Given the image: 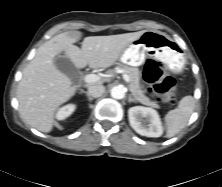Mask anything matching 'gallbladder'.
Wrapping results in <instances>:
<instances>
[{
  "label": "gallbladder",
  "instance_id": "gallbladder-1",
  "mask_svg": "<svg viewBox=\"0 0 222 187\" xmlns=\"http://www.w3.org/2000/svg\"><path fill=\"white\" fill-rule=\"evenodd\" d=\"M55 62L58 69L64 73L73 83L77 84L80 82L82 74L70 59L60 56L56 58Z\"/></svg>",
  "mask_w": 222,
  "mask_h": 187
}]
</instances>
